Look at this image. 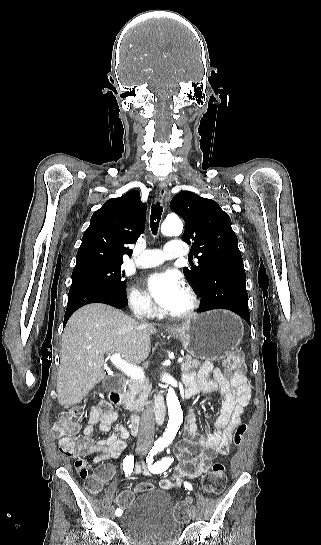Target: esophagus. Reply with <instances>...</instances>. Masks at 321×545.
I'll list each match as a JSON object with an SVG mask.
<instances>
[{
  "label": "esophagus",
  "instance_id": "1",
  "mask_svg": "<svg viewBox=\"0 0 321 545\" xmlns=\"http://www.w3.org/2000/svg\"><path fill=\"white\" fill-rule=\"evenodd\" d=\"M167 196V185H160L159 198L165 200ZM168 328H172L171 325H167Z\"/></svg>",
  "mask_w": 321,
  "mask_h": 545
}]
</instances>
